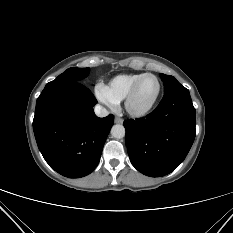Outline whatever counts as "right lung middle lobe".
<instances>
[{
  "mask_svg": "<svg viewBox=\"0 0 233 233\" xmlns=\"http://www.w3.org/2000/svg\"><path fill=\"white\" fill-rule=\"evenodd\" d=\"M90 68H69L60 74L55 80L47 85L65 84L69 82H79L88 76Z\"/></svg>",
  "mask_w": 233,
  "mask_h": 233,
  "instance_id": "obj_1",
  "label": "right lung middle lobe"
}]
</instances>
